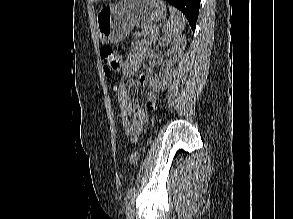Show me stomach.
<instances>
[{
    "instance_id": "obj_1",
    "label": "stomach",
    "mask_w": 293,
    "mask_h": 219,
    "mask_svg": "<svg viewBox=\"0 0 293 219\" xmlns=\"http://www.w3.org/2000/svg\"><path fill=\"white\" fill-rule=\"evenodd\" d=\"M162 0H122L102 7L97 13V29L102 43H118L134 26L144 28L164 18Z\"/></svg>"
}]
</instances>
